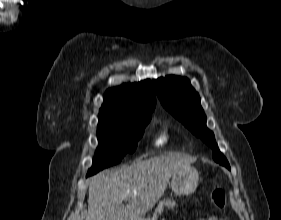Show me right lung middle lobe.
Masks as SVG:
<instances>
[{"instance_id":"obj_1","label":"right lung middle lobe","mask_w":281,"mask_h":220,"mask_svg":"<svg viewBox=\"0 0 281 220\" xmlns=\"http://www.w3.org/2000/svg\"><path fill=\"white\" fill-rule=\"evenodd\" d=\"M151 116H142L110 125L98 124L99 146L87 176L119 163L126 153H133Z\"/></svg>"}]
</instances>
